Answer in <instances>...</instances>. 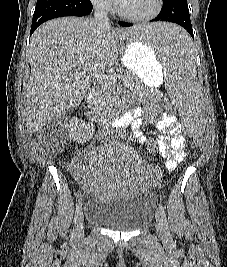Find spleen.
Listing matches in <instances>:
<instances>
[{
	"label": "spleen",
	"mask_w": 227,
	"mask_h": 267,
	"mask_svg": "<svg viewBox=\"0 0 227 267\" xmlns=\"http://www.w3.org/2000/svg\"><path fill=\"white\" fill-rule=\"evenodd\" d=\"M134 33H126L127 43H145V47H153L156 59H164L168 63L163 81H167L168 93L177 99L179 104L196 106H180L178 115H204L201 105L203 94L197 80L193 39L186 29H181L178 22L168 19H157V22H139L131 25ZM185 125L184 137L189 140H204L206 124L202 116H180Z\"/></svg>",
	"instance_id": "obj_1"
}]
</instances>
